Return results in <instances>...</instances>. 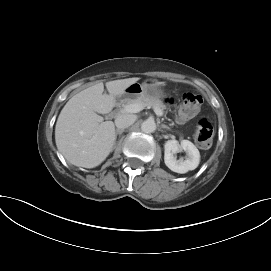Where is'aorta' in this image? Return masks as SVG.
I'll list each match as a JSON object with an SVG mask.
<instances>
[{
  "label": "aorta",
  "mask_w": 271,
  "mask_h": 271,
  "mask_svg": "<svg viewBox=\"0 0 271 271\" xmlns=\"http://www.w3.org/2000/svg\"><path fill=\"white\" fill-rule=\"evenodd\" d=\"M141 130L144 133H153L156 130V124L153 120H145L142 124H141Z\"/></svg>",
  "instance_id": "aorta-1"
}]
</instances>
